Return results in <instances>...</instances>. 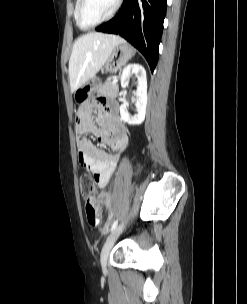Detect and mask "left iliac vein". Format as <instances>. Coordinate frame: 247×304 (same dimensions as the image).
<instances>
[{
    "label": "left iliac vein",
    "instance_id": "4c4485c4",
    "mask_svg": "<svg viewBox=\"0 0 247 304\" xmlns=\"http://www.w3.org/2000/svg\"><path fill=\"white\" fill-rule=\"evenodd\" d=\"M125 226V222H122L121 224H119L113 231L112 233L109 235V237L107 238L102 252H101V266L103 271H106V265H107V260H108V256L110 253V250L113 246V244L115 243V241L117 240V238L119 237V235L121 234V232L123 231Z\"/></svg>",
    "mask_w": 247,
    "mask_h": 304
}]
</instances>
